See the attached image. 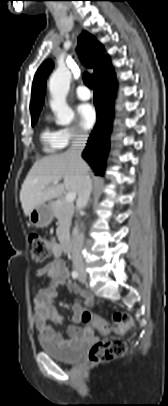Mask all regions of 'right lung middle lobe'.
<instances>
[{
    "label": "right lung middle lobe",
    "mask_w": 168,
    "mask_h": 406,
    "mask_svg": "<svg viewBox=\"0 0 168 406\" xmlns=\"http://www.w3.org/2000/svg\"><path fill=\"white\" fill-rule=\"evenodd\" d=\"M37 120H32V126L36 123Z\"/></svg>",
    "instance_id": "1"
}]
</instances>
